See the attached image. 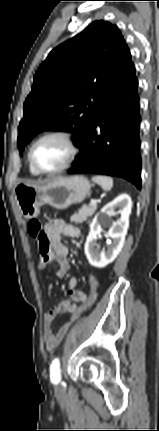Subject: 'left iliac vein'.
<instances>
[{
  "mask_svg": "<svg viewBox=\"0 0 159 431\" xmlns=\"http://www.w3.org/2000/svg\"><path fill=\"white\" fill-rule=\"evenodd\" d=\"M61 390V384L56 385V391Z\"/></svg>",
  "mask_w": 159,
  "mask_h": 431,
  "instance_id": "4c4485c4",
  "label": "left iliac vein"
}]
</instances>
